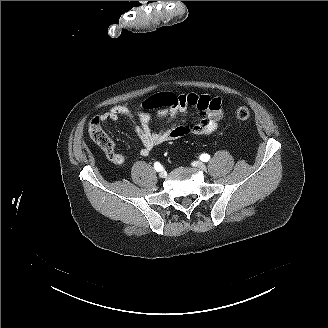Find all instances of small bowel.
Instances as JSON below:
<instances>
[{"label":"small bowel","mask_w":328,"mask_h":328,"mask_svg":"<svg viewBox=\"0 0 328 328\" xmlns=\"http://www.w3.org/2000/svg\"><path fill=\"white\" fill-rule=\"evenodd\" d=\"M222 106L220 97L196 93L180 95L177 105L172 106L168 111L160 112L157 116L159 122L166 123L157 131L152 129V117L148 112L134 110L127 104L115 105L102 113L99 118L101 121H116L119 117L124 116L132 120L142 143L139 153L146 157L155 147L185 135L207 136L215 132L224 115ZM190 108L195 109L199 115L198 120L192 124L187 123L184 119ZM106 155L117 165L123 164L126 160L122 153L115 152L114 149L106 152Z\"/></svg>","instance_id":"small-bowel-1"}]
</instances>
